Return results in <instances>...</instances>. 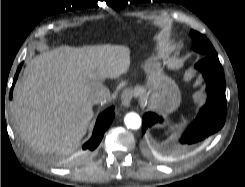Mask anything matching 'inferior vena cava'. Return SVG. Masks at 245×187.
<instances>
[{
    "label": "inferior vena cava",
    "instance_id": "602c4592",
    "mask_svg": "<svg viewBox=\"0 0 245 187\" xmlns=\"http://www.w3.org/2000/svg\"><path fill=\"white\" fill-rule=\"evenodd\" d=\"M109 97V89L106 86L101 85L91 91L89 95V100L92 104H103L109 99Z\"/></svg>",
    "mask_w": 245,
    "mask_h": 187
}]
</instances>
